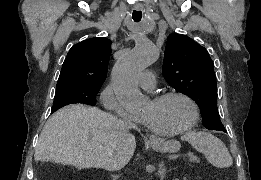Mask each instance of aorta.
Returning <instances> with one entry per match:
<instances>
[{
    "instance_id": "obj_1",
    "label": "aorta",
    "mask_w": 261,
    "mask_h": 180,
    "mask_svg": "<svg viewBox=\"0 0 261 180\" xmlns=\"http://www.w3.org/2000/svg\"><path fill=\"white\" fill-rule=\"evenodd\" d=\"M159 57V52L149 41L138 43L121 56L112 69V83L120 104L128 111L140 110L145 98L138 88V76Z\"/></svg>"
}]
</instances>
